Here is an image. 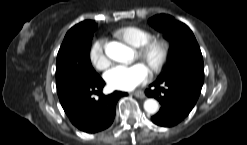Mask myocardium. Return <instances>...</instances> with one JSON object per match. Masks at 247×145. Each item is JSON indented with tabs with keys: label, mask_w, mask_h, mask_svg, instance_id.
Wrapping results in <instances>:
<instances>
[{
	"label": "myocardium",
	"mask_w": 247,
	"mask_h": 145,
	"mask_svg": "<svg viewBox=\"0 0 247 145\" xmlns=\"http://www.w3.org/2000/svg\"><path fill=\"white\" fill-rule=\"evenodd\" d=\"M170 47L167 41L163 39H151L137 50V57L142 60H149L153 53H157L156 61L149 64L153 73L160 72L167 63Z\"/></svg>",
	"instance_id": "1"
}]
</instances>
